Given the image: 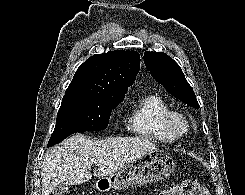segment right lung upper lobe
<instances>
[{
  "mask_svg": "<svg viewBox=\"0 0 245 195\" xmlns=\"http://www.w3.org/2000/svg\"><path fill=\"white\" fill-rule=\"evenodd\" d=\"M140 69L136 51L95 54L77 69L65 94H94L124 98Z\"/></svg>",
  "mask_w": 245,
  "mask_h": 195,
  "instance_id": "1",
  "label": "right lung upper lobe"
}]
</instances>
